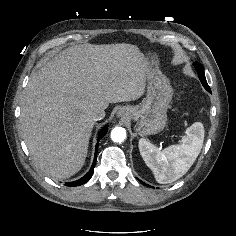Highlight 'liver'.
Returning <instances> with one entry per match:
<instances>
[{"label":"liver","instance_id":"6515ba94","mask_svg":"<svg viewBox=\"0 0 236 236\" xmlns=\"http://www.w3.org/2000/svg\"><path fill=\"white\" fill-rule=\"evenodd\" d=\"M151 65L131 44H83L63 50L32 72L20 123L35 164L66 179L84 165L94 108L140 98Z\"/></svg>","mask_w":236,"mask_h":236}]
</instances>
